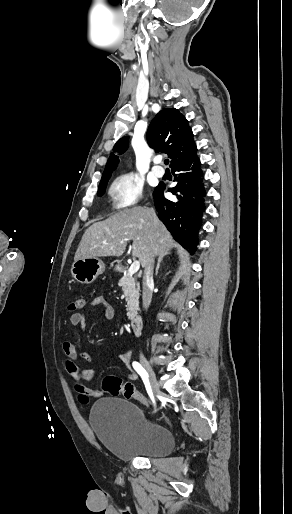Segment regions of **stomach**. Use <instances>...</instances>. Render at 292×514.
I'll return each instance as SVG.
<instances>
[{
	"label": "stomach",
	"instance_id": "1",
	"mask_svg": "<svg viewBox=\"0 0 292 514\" xmlns=\"http://www.w3.org/2000/svg\"><path fill=\"white\" fill-rule=\"evenodd\" d=\"M105 272V266L99 258H80L72 264L71 274L80 284H92L97 276Z\"/></svg>",
	"mask_w": 292,
	"mask_h": 514
}]
</instances>
